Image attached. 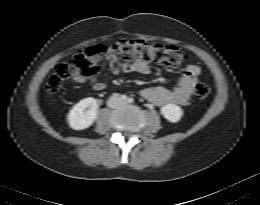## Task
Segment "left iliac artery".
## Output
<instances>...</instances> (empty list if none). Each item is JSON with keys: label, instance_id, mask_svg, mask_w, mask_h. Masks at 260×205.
<instances>
[{"label": "left iliac artery", "instance_id": "obj_1", "mask_svg": "<svg viewBox=\"0 0 260 205\" xmlns=\"http://www.w3.org/2000/svg\"><path fill=\"white\" fill-rule=\"evenodd\" d=\"M133 101H134L133 98H128L129 103H133Z\"/></svg>", "mask_w": 260, "mask_h": 205}]
</instances>
